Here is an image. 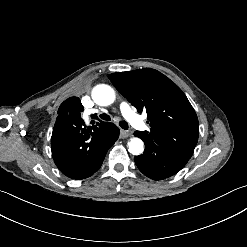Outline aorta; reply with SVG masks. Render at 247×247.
<instances>
[{"mask_svg": "<svg viewBox=\"0 0 247 247\" xmlns=\"http://www.w3.org/2000/svg\"><path fill=\"white\" fill-rule=\"evenodd\" d=\"M94 102L101 106H108L115 100V92L109 85L100 84L92 91ZM128 151L133 155H140L144 151V143L140 138L133 137L128 143Z\"/></svg>", "mask_w": 247, "mask_h": 247, "instance_id": "obj_1", "label": "aorta"}]
</instances>
